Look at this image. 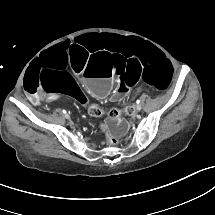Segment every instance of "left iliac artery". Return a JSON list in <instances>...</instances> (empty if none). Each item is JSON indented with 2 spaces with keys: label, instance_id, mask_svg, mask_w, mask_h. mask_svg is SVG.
Instances as JSON below:
<instances>
[{
  "label": "left iliac artery",
  "instance_id": "44dca946",
  "mask_svg": "<svg viewBox=\"0 0 215 215\" xmlns=\"http://www.w3.org/2000/svg\"><path fill=\"white\" fill-rule=\"evenodd\" d=\"M136 103H137L138 106H141V105H140V104H141V101H140V100H137Z\"/></svg>",
  "mask_w": 215,
  "mask_h": 215
}]
</instances>
